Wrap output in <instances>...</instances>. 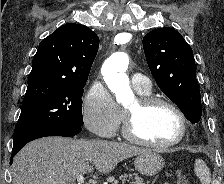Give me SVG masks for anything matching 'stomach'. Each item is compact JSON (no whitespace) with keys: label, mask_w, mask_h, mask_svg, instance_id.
<instances>
[{"label":"stomach","mask_w":224,"mask_h":184,"mask_svg":"<svg viewBox=\"0 0 224 184\" xmlns=\"http://www.w3.org/2000/svg\"><path fill=\"white\" fill-rule=\"evenodd\" d=\"M134 164L136 170L142 175L153 176L163 169L165 162L162 156L158 153L148 151L139 154L136 157Z\"/></svg>","instance_id":"1"}]
</instances>
